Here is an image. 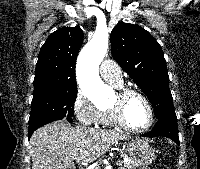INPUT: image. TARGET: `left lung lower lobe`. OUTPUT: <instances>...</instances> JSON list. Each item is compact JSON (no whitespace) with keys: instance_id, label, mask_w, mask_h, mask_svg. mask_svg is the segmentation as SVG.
<instances>
[{"instance_id":"1","label":"left lung lower lobe","mask_w":200,"mask_h":169,"mask_svg":"<svg viewBox=\"0 0 200 169\" xmlns=\"http://www.w3.org/2000/svg\"><path fill=\"white\" fill-rule=\"evenodd\" d=\"M141 136H165L179 144L177 118L162 117L158 119L157 124L150 132L142 134Z\"/></svg>"}]
</instances>
